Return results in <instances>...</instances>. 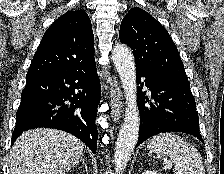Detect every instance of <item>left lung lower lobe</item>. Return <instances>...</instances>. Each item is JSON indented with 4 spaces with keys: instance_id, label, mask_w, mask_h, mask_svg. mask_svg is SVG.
Wrapping results in <instances>:
<instances>
[{
    "instance_id": "0a47b994",
    "label": "left lung lower lobe",
    "mask_w": 224,
    "mask_h": 174,
    "mask_svg": "<svg viewBox=\"0 0 224 174\" xmlns=\"http://www.w3.org/2000/svg\"><path fill=\"white\" fill-rule=\"evenodd\" d=\"M136 76L138 83L141 77H145L142 85L150 89L154 100L149 102L146 92H140L138 95L140 127L137 146L163 132H183L203 142L199 132L196 103L188 79L139 68H136Z\"/></svg>"
}]
</instances>
